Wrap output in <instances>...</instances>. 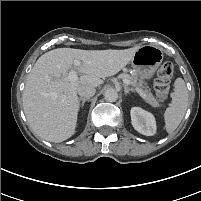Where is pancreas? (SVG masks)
I'll list each match as a JSON object with an SVG mask.
<instances>
[{"instance_id":"pancreas-1","label":"pancreas","mask_w":201,"mask_h":201,"mask_svg":"<svg viewBox=\"0 0 201 201\" xmlns=\"http://www.w3.org/2000/svg\"><path fill=\"white\" fill-rule=\"evenodd\" d=\"M123 80H128L130 82V86L132 87V90H135L136 88L141 89L146 94L145 101L150 104L153 107H160L159 100L155 98V96L147 89V87H144L143 81L139 80L134 74L130 75L126 72H124L121 75ZM126 85V84H125Z\"/></svg>"}]
</instances>
